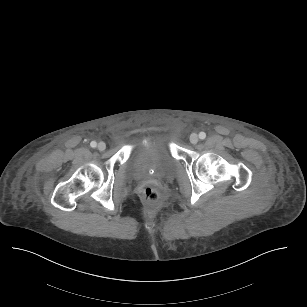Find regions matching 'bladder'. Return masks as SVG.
Segmentation results:
<instances>
[{"label": "bladder", "mask_w": 307, "mask_h": 307, "mask_svg": "<svg viewBox=\"0 0 307 307\" xmlns=\"http://www.w3.org/2000/svg\"><path fill=\"white\" fill-rule=\"evenodd\" d=\"M176 163L177 160L166 142L149 139L131 148L126 165L134 178L143 179L152 171L157 176H167L174 171Z\"/></svg>", "instance_id": "obj_1"}]
</instances>
